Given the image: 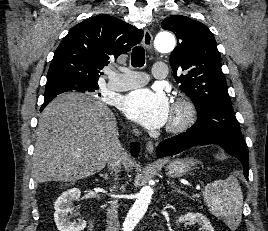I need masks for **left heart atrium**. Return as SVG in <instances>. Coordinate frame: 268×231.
<instances>
[{
	"mask_svg": "<svg viewBox=\"0 0 268 231\" xmlns=\"http://www.w3.org/2000/svg\"><path fill=\"white\" fill-rule=\"evenodd\" d=\"M126 116L149 129L162 127L170 117V105L162 90L138 89L122 101Z\"/></svg>",
	"mask_w": 268,
	"mask_h": 231,
	"instance_id": "obj_1",
	"label": "left heart atrium"
}]
</instances>
